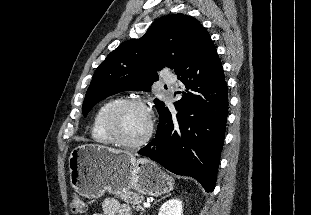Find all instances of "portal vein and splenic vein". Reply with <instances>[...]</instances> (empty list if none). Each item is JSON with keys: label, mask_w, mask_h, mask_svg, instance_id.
Returning <instances> with one entry per match:
<instances>
[{"label": "portal vein and splenic vein", "mask_w": 311, "mask_h": 215, "mask_svg": "<svg viewBox=\"0 0 311 215\" xmlns=\"http://www.w3.org/2000/svg\"><path fill=\"white\" fill-rule=\"evenodd\" d=\"M143 205H144V207H146V208L150 207V203H149V202H144Z\"/></svg>", "instance_id": "18ae733b"}]
</instances>
